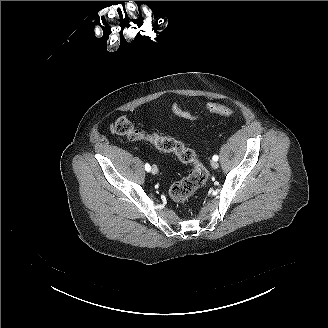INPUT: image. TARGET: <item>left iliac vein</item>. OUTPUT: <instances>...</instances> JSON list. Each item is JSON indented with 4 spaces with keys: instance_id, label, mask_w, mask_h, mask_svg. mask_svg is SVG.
Segmentation results:
<instances>
[{
    "instance_id": "left-iliac-vein-1",
    "label": "left iliac vein",
    "mask_w": 328,
    "mask_h": 328,
    "mask_svg": "<svg viewBox=\"0 0 328 328\" xmlns=\"http://www.w3.org/2000/svg\"><path fill=\"white\" fill-rule=\"evenodd\" d=\"M211 166H212L213 169H217L219 167V164L216 161H212Z\"/></svg>"
}]
</instances>
